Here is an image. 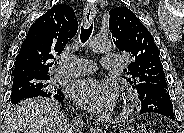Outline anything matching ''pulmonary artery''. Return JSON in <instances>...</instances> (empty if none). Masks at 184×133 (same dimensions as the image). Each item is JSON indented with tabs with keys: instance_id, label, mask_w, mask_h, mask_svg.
Masks as SVG:
<instances>
[{
	"instance_id": "obj_1",
	"label": "pulmonary artery",
	"mask_w": 184,
	"mask_h": 133,
	"mask_svg": "<svg viewBox=\"0 0 184 133\" xmlns=\"http://www.w3.org/2000/svg\"><path fill=\"white\" fill-rule=\"evenodd\" d=\"M70 63L66 66L59 67L56 72L57 78L75 77L92 73L96 70L95 64L83 58L68 56ZM123 61V57L117 54H107L102 57V68L106 70H115Z\"/></svg>"
}]
</instances>
